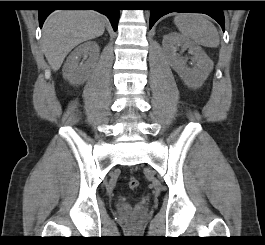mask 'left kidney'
Wrapping results in <instances>:
<instances>
[{"instance_id":"1","label":"left kidney","mask_w":265,"mask_h":245,"mask_svg":"<svg viewBox=\"0 0 265 245\" xmlns=\"http://www.w3.org/2000/svg\"><path fill=\"white\" fill-rule=\"evenodd\" d=\"M162 45L170 66L184 83L193 89L200 88L213 70V61L204 50L176 32L165 35ZM179 47L183 50L188 49L192 55L191 60L194 64L192 68H189L186 60L177 53Z\"/></svg>"}]
</instances>
